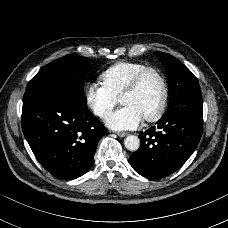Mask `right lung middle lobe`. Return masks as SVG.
I'll list each match as a JSON object with an SVG mask.
<instances>
[{
    "mask_svg": "<svg viewBox=\"0 0 228 228\" xmlns=\"http://www.w3.org/2000/svg\"><path fill=\"white\" fill-rule=\"evenodd\" d=\"M90 67V59L74 54L52 61L28 83L26 93L57 91L87 104L84 81Z\"/></svg>",
    "mask_w": 228,
    "mask_h": 228,
    "instance_id": "obj_1",
    "label": "right lung middle lobe"
}]
</instances>
